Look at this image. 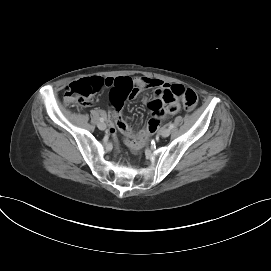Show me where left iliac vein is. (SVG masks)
<instances>
[{
    "instance_id": "1",
    "label": "left iliac vein",
    "mask_w": 271,
    "mask_h": 271,
    "mask_svg": "<svg viewBox=\"0 0 271 271\" xmlns=\"http://www.w3.org/2000/svg\"><path fill=\"white\" fill-rule=\"evenodd\" d=\"M171 133V130L169 128H163L161 131H160V135L162 137H168Z\"/></svg>"
}]
</instances>
